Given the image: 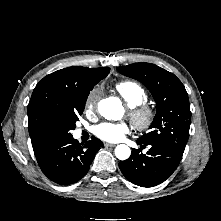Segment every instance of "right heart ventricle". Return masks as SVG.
<instances>
[{"label":"right heart ventricle","instance_id":"right-heart-ventricle-1","mask_svg":"<svg viewBox=\"0 0 221 221\" xmlns=\"http://www.w3.org/2000/svg\"><path fill=\"white\" fill-rule=\"evenodd\" d=\"M115 88L131 107L145 103L148 97L145 88L136 81H120Z\"/></svg>","mask_w":221,"mask_h":221}]
</instances>
